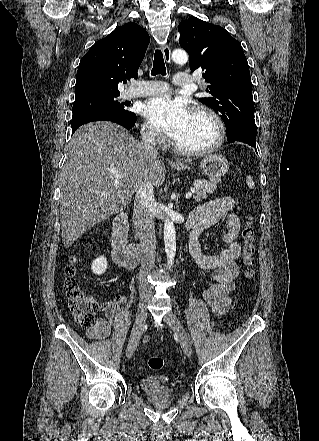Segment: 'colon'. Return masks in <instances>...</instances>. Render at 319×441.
<instances>
[{
	"label": "colon",
	"instance_id": "5ec220e1",
	"mask_svg": "<svg viewBox=\"0 0 319 441\" xmlns=\"http://www.w3.org/2000/svg\"><path fill=\"white\" fill-rule=\"evenodd\" d=\"M243 250L242 262L246 279L255 277V229L254 218L247 217L242 228ZM76 259L72 257L65 268L64 290L67 307L74 320L84 328H92L95 325V315L98 305L90 300L77 279ZM164 360L159 356L150 357L148 366L151 370L158 371L163 368Z\"/></svg>",
	"mask_w": 319,
	"mask_h": 441
}]
</instances>
